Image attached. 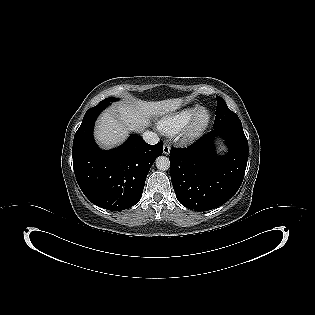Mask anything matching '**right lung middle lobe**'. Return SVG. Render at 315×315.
Segmentation results:
<instances>
[{"instance_id":"obj_1","label":"right lung middle lobe","mask_w":315,"mask_h":315,"mask_svg":"<svg viewBox=\"0 0 315 315\" xmlns=\"http://www.w3.org/2000/svg\"><path fill=\"white\" fill-rule=\"evenodd\" d=\"M116 98H106L105 100L101 101L100 103H111L114 102Z\"/></svg>"}]
</instances>
